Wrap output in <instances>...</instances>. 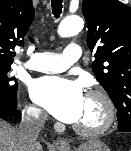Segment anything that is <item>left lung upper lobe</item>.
Returning a JSON list of instances; mask_svg holds the SVG:
<instances>
[{
  "label": "left lung upper lobe",
  "mask_w": 131,
  "mask_h": 151,
  "mask_svg": "<svg viewBox=\"0 0 131 151\" xmlns=\"http://www.w3.org/2000/svg\"><path fill=\"white\" fill-rule=\"evenodd\" d=\"M92 70L117 108L118 127L131 124V7L118 0H83Z\"/></svg>",
  "instance_id": "1"
}]
</instances>
